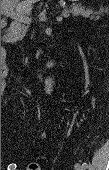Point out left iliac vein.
<instances>
[{"label":"left iliac vein","mask_w":109,"mask_h":170,"mask_svg":"<svg viewBox=\"0 0 109 170\" xmlns=\"http://www.w3.org/2000/svg\"><path fill=\"white\" fill-rule=\"evenodd\" d=\"M75 170H85V169H84V167L81 164L76 163L75 164Z\"/></svg>","instance_id":"left-iliac-vein-1"}]
</instances>
